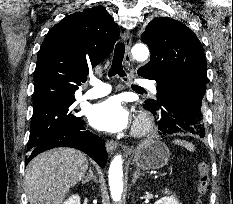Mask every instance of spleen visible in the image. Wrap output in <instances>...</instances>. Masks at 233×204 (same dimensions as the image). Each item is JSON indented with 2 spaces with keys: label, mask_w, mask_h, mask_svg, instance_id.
Returning a JSON list of instances; mask_svg holds the SVG:
<instances>
[{
  "label": "spleen",
  "mask_w": 233,
  "mask_h": 204,
  "mask_svg": "<svg viewBox=\"0 0 233 204\" xmlns=\"http://www.w3.org/2000/svg\"><path fill=\"white\" fill-rule=\"evenodd\" d=\"M174 143L176 145H180V146H183L185 147L187 150L189 151H194L195 150V147L194 145H192L191 143L187 142V141H182V140H175Z\"/></svg>",
  "instance_id": "spleen-1"
}]
</instances>
